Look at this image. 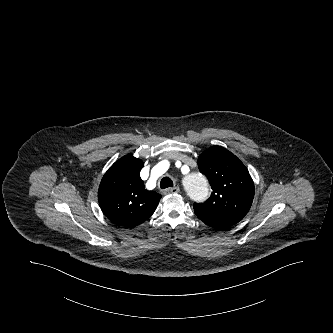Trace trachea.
Returning <instances> with one entry per match:
<instances>
[{"mask_svg": "<svg viewBox=\"0 0 333 333\" xmlns=\"http://www.w3.org/2000/svg\"><path fill=\"white\" fill-rule=\"evenodd\" d=\"M160 187L162 189L173 187V181L169 177H163L160 181Z\"/></svg>", "mask_w": 333, "mask_h": 333, "instance_id": "3493384b", "label": "trachea"}]
</instances>
